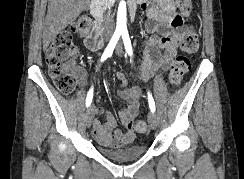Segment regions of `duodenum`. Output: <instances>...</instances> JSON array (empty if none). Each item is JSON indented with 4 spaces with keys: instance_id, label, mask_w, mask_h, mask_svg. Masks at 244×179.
I'll list each match as a JSON object with an SVG mask.
<instances>
[{
    "instance_id": "obj_1",
    "label": "duodenum",
    "mask_w": 244,
    "mask_h": 179,
    "mask_svg": "<svg viewBox=\"0 0 244 179\" xmlns=\"http://www.w3.org/2000/svg\"><path fill=\"white\" fill-rule=\"evenodd\" d=\"M131 15L137 14V10L134 7L129 8ZM92 16L95 19V29L94 32L89 37L90 43L95 47H101L104 44L103 31L100 22V14L98 12V3H94L92 8Z\"/></svg>"
}]
</instances>
